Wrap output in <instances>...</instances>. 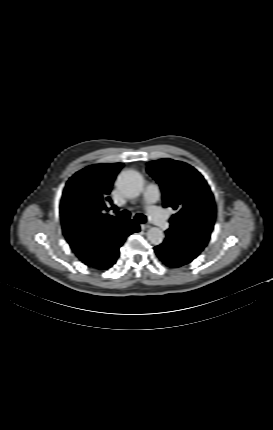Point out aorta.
<instances>
[{
  "instance_id": "762f6f07",
  "label": "aorta",
  "mask_w": 273,
  "mask_h": 430,
  "mask_svg": "<svg viewBox=\"0 0 273 430\" xmlns=\"http://www.w3.org/2000/svg\"><path fill=\"white\" fill-rule=\"evenodd\" d=\"M118 189L129 198H136L143 190V178L135 170L123 171L116 181ZM147 239L153 245H159L163 242L164 234L157 227H152L147 231Z\"/></svg>"
}]
</instances>
